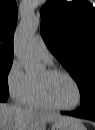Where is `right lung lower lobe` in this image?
I'll return each instance as SVG.
<instances>
[{"label":"right lung lower lobe","mask_w":95,"mask_h":130,"mask_svg":"<svg viewBox=\"0 0 95 130\" xmlns=\"http://www.w3.org/2000/svg\"><path fill=\"white\" fill-rule=\"evenodd\" d=\"M8 96H9V95H3V94L1 95V94H0V101H1V102H5V101L7 100V98H8Z\"/></svg>","instance_id":"98d812e1"}]
</instances>
